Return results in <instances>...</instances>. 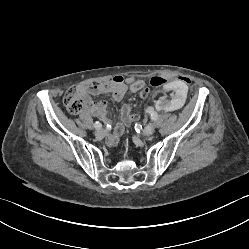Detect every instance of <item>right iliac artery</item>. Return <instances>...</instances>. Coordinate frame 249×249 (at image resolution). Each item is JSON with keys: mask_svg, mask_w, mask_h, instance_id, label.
<instances>
[{"mask_svg": "<svg viewBox=\"0 0 249 249\" xmlns=\"http://www.w3.org/2000/svg\"><path fill=\"white\" fill-rule=\"evenodd\" d=\"M94 127L96 128V129H100L101 127H102V124L100 123V122H95L94 123Z\"/></svg>", "mask_w": 249, "mask_h": 249, "instance_id": "right-iliac-artery-1", "label": "right iliac artery"}]
</instances>
